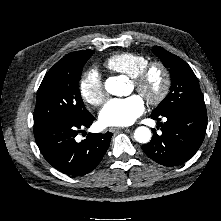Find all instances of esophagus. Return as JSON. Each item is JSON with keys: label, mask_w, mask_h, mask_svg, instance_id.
<instances>
[{"label": "esophagus", "mask_w": 221, "mask_h": 221, "mask_svg": "<svg viewBox=\"0 0 221 221\" xmlns=\"http://www.w3.org/2000/svg\"><path fill=\"white\" fill-rule=\"evenodd\" d=\"M118 130H128V128H124V127H110L109 128L110 132H115V131H118Z\"/></svg>", "instance_id": "1"}]
</instances>
